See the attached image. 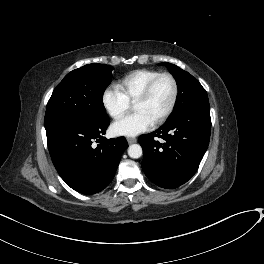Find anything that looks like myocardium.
Returning a JSON list of instances; mask_svg holds the SVG:
<instances>
[{
	"instance_id": "obj_1",
	"label": "myocardium",
	"mask_w": 264,
	"mask_h": 264,
	"mask_svg": "<svg viewBox=\"0 0 264 264\" xmlns=\"http://www.w3.org/2000/svg\"><path fill=\"white\" fill-rule=\"evenodd\" d=\"M162 77H168L171 80V82H172V85H173L172 99H171V102H170L168 108L166 109V111L156 121H154V125H160L163 122H165L169 118V116L172 114L174 109H175V106H176V103H177V100H178V94H179V87H178V82H177L176 78L169 72L159 73L158 75L153 77L147 83V85L142 90L140 95L134 101V104H135V103L147 100L149 98V96H150L155 84Z\"/></svg>"
}]
</instances>
